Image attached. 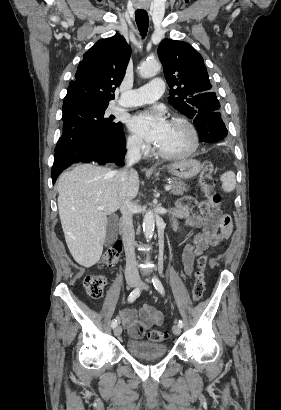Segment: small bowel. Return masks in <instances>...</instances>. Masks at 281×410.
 Segmentation results:
<instances>
[{
  "label": "small bowel",
  "mask_w": 281,
  "mask_h": 410,
  "mask_svg": "<svg viewBox=\"0 0 281 410\" xmlns=\"http://www.w3.org/2000/svg\"><path fill=\"white\" fill-rule=\"evenodd\" d=\"M198 201L193 197L180 199L172 210V225L176 231L181 226L174 219L175 216L186 217L185 226L195 230L193 243L184 246L181 262L186 275H191L194 260L207 251L215 242L217 231L220 230L224 238L232 233V223L226 224L224 218L217 213L200 214L196 212ZM166 315L149 304H144L139 310V317L133 308H124L119 313V318L132 338H141L145 330L154 325H161Z\"/></svg>",
  "instance_id": "small-bowel-1"
}]
</instances>
